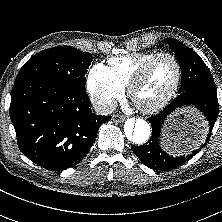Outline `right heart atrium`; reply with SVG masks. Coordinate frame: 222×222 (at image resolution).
<instances>
[{"label": "right heart atrium", "instance_id": "d8ad5b80", "mask_svg": "<svg viewBox=\"0 0 222 222\" xmlns=\"http://www.w3.org/2000/svg\"><path fill=\"white\" fill-rule=\"evenodd\" d=\"M87 89L92 103L102 113L109 112L125 92L124 87L113 79L109 69L102 64H96L90 69Z\"/></svg>", "mask_w": 222, "mask_h": 222}]
</instances>
